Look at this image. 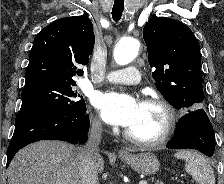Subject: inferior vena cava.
I'll return each mask as SVG.
<instances>
[{
  "mask_svg": "<svg viewBox=\"0 0 224 184\" xmlns=\"http://www.w3.org/2000/svg\"><path fill=\"white\" fill-rule=\"evenodd\" d=\"M102 126L100 121L93 120L88 142L80 147L79 172L81 184H99L95 161L99 157L98 147L101 140Z\"/></svg>",
  "mask_w": 224,
  "mask_h": 184,
  "instance_id": "1",
  "label": "inferior vena cava"
}]
</instances>
